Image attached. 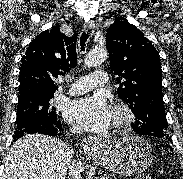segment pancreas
Instances as JSON below:
<instances>
[{"label": "pancreas", "mask_w": 183, "mask_h": 179, "mask_svg": "<svg viewBox=\"0 0 183 179\" xmlns=\"http://www.w3.org/2000/svg\"><path fill=\"white\" fill-rule=\"evenodd\" d=\"M135 179H151V177H149V176H138V177H136Z\"/></svg>", "instance_id": "pancreas-1"}]
</instances>
